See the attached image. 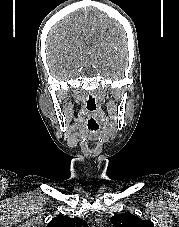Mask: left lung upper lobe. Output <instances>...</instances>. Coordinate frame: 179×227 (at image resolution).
<instances>
[{"label":"left lung upper lobe","instance_id":"5c2ea615","mask_svg":"<svg viewBox=\"0 0 179 227\" xmlns=\"http://www.w3.org/2000/svg\"><path fill=\"white\" fill-rule=\"evenodd\" d=\"M110 222L114 227H154L149 220H142L130 213L115 214L110 218Z\"/></svg>","mask_w":179,"mask_h":227}]
</instances>
